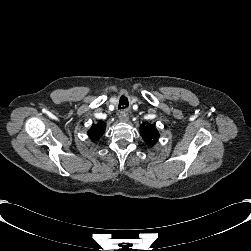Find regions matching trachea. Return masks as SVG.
Masks as SVG:
<instances>
[{"instance_id":"obj_1","label":"trachea","mask_w":251,"mask_h":251,"mask_svg":"<svg viewBox=\"0 0 251 251\" xmlns=\"http://www.w3.org/2000/svg\"><path fill=\"white\" fill-rule=\"evenodd\" d=\"M125 97H122V98H120V102H119V106H118V108L121 110V109H125V108H127L128 107V101H127V99L125 98ZM121 106H123V107H121Z\"/></svg>"}]
</instances>
